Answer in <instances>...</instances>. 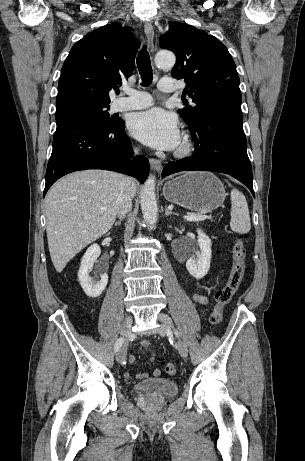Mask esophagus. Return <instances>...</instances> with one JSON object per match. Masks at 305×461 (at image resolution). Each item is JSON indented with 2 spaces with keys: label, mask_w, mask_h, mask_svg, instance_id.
Here are the masks:
<instances>
[{
  "label": "esophagus",
  "mask_w": 305,
  "mask_h": 461,
  "mask_svg": "<svg viewBox=\"0 0 305 461\" xmlns=\"http://www.w3.org/2000/svg\"><path fill=\"white\" fill-rule=\"evenodd\" d=\"M144 31H145V34L147 36V39L149 41V46H150V50L151 52H153L154 50V29H153V26L152 24L149 22V21H146L144 23ZM149 163H150V166L153 170H156L157 172H159L161 170V161L158 160V159H155V158H151L149 160Z\"/></svg>",
  "instance_id": "esophagus-1"
}]
</instances>
